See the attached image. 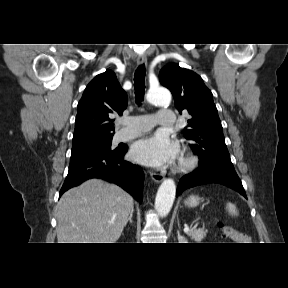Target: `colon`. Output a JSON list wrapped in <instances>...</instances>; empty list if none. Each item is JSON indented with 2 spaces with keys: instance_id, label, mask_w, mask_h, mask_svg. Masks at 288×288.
<instances>
[{
  "instance_id": "colon-1",
  "label": "colon",
  "mask_w": 288,
  "mask_h": 288,
  "mask_svg": "<svg viewBox=\"0 0 288 288\" xmlns=\"http://www.w3.org/2000/svg\"><path fill=\"white\" fill-rule=\"evenodd\" d=\"M218 227L220 228L222 235L225 239H228L230 241H238L242 238V235L237 230L227 225L223 221L218 222Z\"/></svg>"
}]
</instances>
